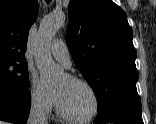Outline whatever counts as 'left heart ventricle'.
Instances as JSON below:
<instances>
[{
    "label": "left heart ventricle",
    "mask_w": 156,
    "mask_h": 124,
    "mask_svg": "<svg viewBox=\"0 0 156 124\" xmlns=\"http://www.w3.org/2000/svg\"><path fill=\"white\" fill-rule=\"evenodd\" d=\"M62 108L73 116H86L94 108L91 92L82 84L72 82L63 76L53 86Z\"/></svg>",
    "instance_id": "left-heart-ventricle-1"
}]
</instances>
